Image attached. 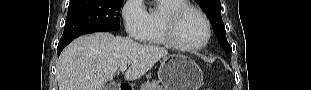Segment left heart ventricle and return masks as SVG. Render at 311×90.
I'll use <instances>...</instances> for the list:
<instances>
[{
	"label": "left heart ventricle",
	"mask_w": 311,
	"mask_h": 90,
	"mask_svg": "<svg viewBox=\"0 0 311 90\" xmlns=\"http://www.w3.org/2000/svg\"><path fill=\"white\" fill-rule=\"evenodd\" d=\"M177 35L184 45L199 44L206 36L204 21L195 12L186 13L179 22Z\"/></svg>",
	"instance_id": "b2bd125f"
}]
</instances>
